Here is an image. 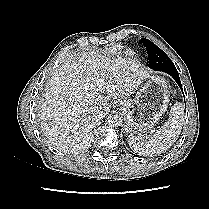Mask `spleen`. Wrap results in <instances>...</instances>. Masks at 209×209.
I'll list each match as a JSON object with an SVG mask.
<instances>
[{
    "label": "spleen",
    "instance_id": "obj_1",
    "mask_svg": "<svg viewBox=\"0 0 209 209\" xmlns=\"http://www.w3.org/2000/svg\"><path fill=\"white\" fill-rule=\"evenodd\" d=\"M184 122V108L181 103H175L168 121L152 136L144 139L141 136L130 135L129 146L142 156H154L167 151L178 139Z\"/></svg>",
    "mask_w": 209,
    "mask_h": 209
}]
</instances>
